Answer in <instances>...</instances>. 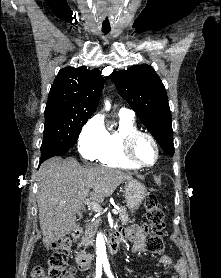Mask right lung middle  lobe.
Returning <instances> with one entry per match:
<instances>
[{"label": "right lung middle lobe", "instance_id": "right-lung-middle-lobe-1", "mask_svg": "<svg viewBox=\"0 0 221 278\" xmlns=\"http://www.w3.org/2000/svg\"><path fill=\"white\" fill-rule=\"evenodd\" d=\"M88 116L67 117L63 114H45L41 158L69 150L77 141Z\"/></svg>", "mask_w": 221, "mask_h": 278}]
</instances>
